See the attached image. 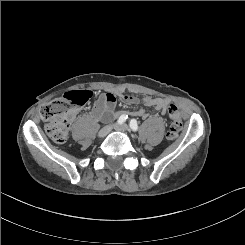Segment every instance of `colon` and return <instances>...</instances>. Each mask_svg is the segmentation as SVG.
<instances>
[{"mask_svg":"<svg viewBox=\"0 0 245 245\" xmlns=\"http://www.w3.org/2000/svg\"><path fill=\"white\" fill-rule=\"evenodd\" d=\"M91 98L92 92L89 90H73L45 104L41 110V117L46 122L45 131L48 136L56 143H64L68 138L75 110L87 104ZM167 113L170 128L166 138L174 140L182 129L181 115L174 104L168 105Z\"/></svg>","mask_w":245,"mask_h":245,"instance_id":"5ec220e1","label":"colon"}]
</instances>
